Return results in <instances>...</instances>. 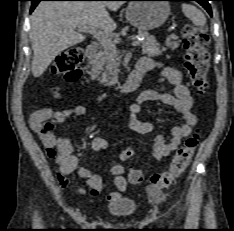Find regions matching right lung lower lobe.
<instances>
[{
	"instance_id": "right-lung-lower-lobe-1",
	"label": "right lung lower lobe",
	"mask_w": 234,
	"mask_h": 231,
	"mask_svg": "<svg viewBox=\"0 0 234 231\" xmlns=\"http://www.w3.org/2000/svg\"><path fill=\"white\" fill-rule=\"evenodd\" d=\"M30 1L32 2L30 12H32L40 1H93V0H30ZM108 1H111V0H108Z\"/></svg>"
}]
</instances>
